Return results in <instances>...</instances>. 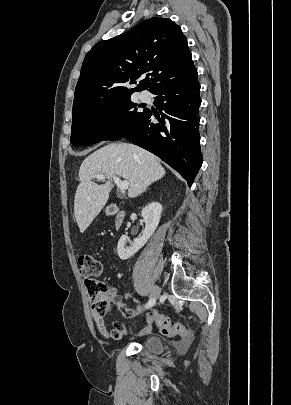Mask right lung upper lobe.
<instances>
[{
  "instance_id": "1",
  "label": "right lung upper lobe",
  "mask_w": 291,
  "mask_h": 405,
  "mask_svg": "<svg viewBox=\"0 0 291 405\" xmlns=\"http://www.w3.org/2000/svg\"><path fill=\"white\" fill-rule=\"evenodd\" d=\"M197 72L181 28L168 18H150L130 31L96 43L87 53L75 88L73 111L187 79ZM145 78L137 87L128 83Z\"/></svg>"
}]
</instances>
